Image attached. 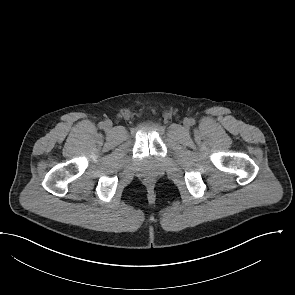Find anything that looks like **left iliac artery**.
I'll return each instance as SVG.
<instances>
[{"instance_id":"obj_1","label":"left iliac artery","mask_w":295,"mask_h":295,"mask_svg":"<svg viewBox=\"0 0 295 295\" xmlns=\"http://www.w3.org/2000/svg\"><path fill=\"white\" fill-rule=\"evenodd\" d=\"M190 124H191V125H194V124H195V120L191 118V119H190Z\"/></svg>"}]
</instances>
